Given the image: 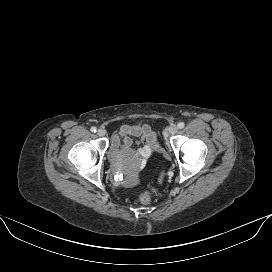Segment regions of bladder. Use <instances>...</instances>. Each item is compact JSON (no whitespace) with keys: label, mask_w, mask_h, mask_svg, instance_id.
<instances>
[{"label":"bladder","mask_w":272,"mask_h":272,"mask_svg":"<svg viewBox=\"0 0 272 272\" xmlns=\"http://www.w3.org/2000/svg\"><path fill=\"white\" fill-rule=\"evenodd\" d=\"M107 158H108V161H109L111 164L114 163V161H115V155L112 154L111 151L109 152Z\"/></svg>","instance_id":"1"}]
</instances>
